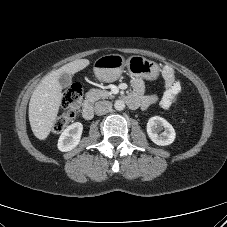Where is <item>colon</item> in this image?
<instances>
[{"mask_svg":"<svg viewBox=\"0 0 227 227\" xmlns=\"http://www.w3.org/2000/svg\"><path fill=\"white\" fill-rule=\"evenodd\" d=\"M83 101V89L79 84H73L65 92L62 99L63 113L58 116L54 123L53 130L56 133L61 132L74 116L79 112Z\"/></svg>","mask_w":227,"mask_h":227,"instance_id":"colon-1","label":"colon"}]
</instances>
